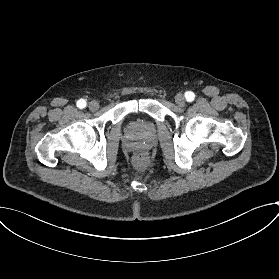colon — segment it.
<instances>
[{"label": "colon", "instance_id": "1", "mask_svg": "<svg viewBox=\"0 0 279 279\" xmlns=\"http://www.w3.org/2000/svg\"><path fill=\"white\" fill-rule=\"evenodd\" d=\"M131 167L137 173H144L150 167V160L144 154H137L131 160Z\"/></svg>", "mask_w": 279, "mask_h": 279}]
</instances>
